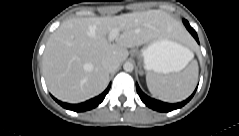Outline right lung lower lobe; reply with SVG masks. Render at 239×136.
Returning <instances> with one entry per match:
<instances>
[{"mask_svg":"<svg viewBox=\"0 0 239 136\" xmlns=\"http://www.w3.org/2000/svg\"><path fill=\"white\" fill-rule=\"evenodd\" d=\"M110 86H111V84L99 96L92 98L86 102L80 103V104H68V103L61 102V101L57 100L56 98H54V100L58 104H60L62 107L66 108L68 110H73L76 112H83V111H87V110L97 107L104 100L106 94L108 93V91L110 89Z\"/></svg>","mask_w":239,"mask_h":136,"instance_id":"obj_1","label":"right lung lower lobe"}]
</instances>
